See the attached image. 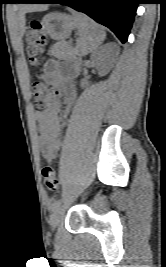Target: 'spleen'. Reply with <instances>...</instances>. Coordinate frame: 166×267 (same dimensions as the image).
I'll return each mask as SVG.
<instances>
[{
  "label": "spleen",
  "instance_id": "1",
  "mask_svg": "<svg viewBox=\"0 0 166 267\" xmlns=\"http://www.w3.org/2000/svg\"><path fill=\"white\" fill-rule=\"evenodd\" d=\"M69 11L77 20L79 39L75 48L78 56H85L96 50L104 41L106 33L98 23L83 13H78L72 9Z\"/></svg>",
  "mask_w": 166,
  "mask_h": 267
}]
</instances>
